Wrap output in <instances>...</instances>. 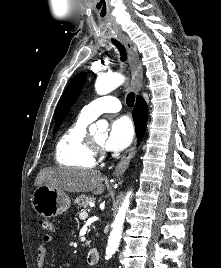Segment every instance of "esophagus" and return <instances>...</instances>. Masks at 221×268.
I'll use <instances>...</instances> for the list:
<instances>
[{
	"mask_svg": "<svg viewBox=\"0 0 221 268\" xmlns=\"http://www.w3.org/2000/svg\"><path fill=\"white\" fill-rule=\"evenodd\" d=\"M121 41L124 43L127 55H128V63L131 71V77H132V88L135 91L136 94H138L141 90L142 86V69L141 65L138 60L137 56V50L134 43L129 39L127 35L121 34L120 36ZM136 152V142L133 143V145L130 147V149L126 152V154L122 157V159L118 162L114 169V176H120L122 175L131 159L134 157Z\"/></svg>",
	"mask_w": 221,
	"mask_h": 268,
	"instance_id": "obj_1",
	"label": "esophagus"
}]
</instances>
